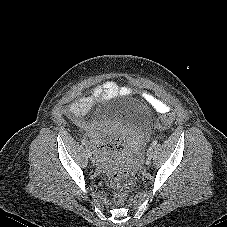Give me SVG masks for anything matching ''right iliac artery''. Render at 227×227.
Wrapping results in <instances>:
<instances>
[{
    "instance_id": "1",
    "label": "right iliac artery",
    "mask_w": 227,
    "mask_h": 227,
    "mask_svg": "<svg viewBox=\"0 0 227 227\" xmlns=\"http://www.w3.org/2000/svg\"><path fill=\"white\" fill-rule=\"evenodd\" d=\"M81 142H82L83 145L86 144V140L85 139H83Z\"/></svg>"
}]
</instances>
